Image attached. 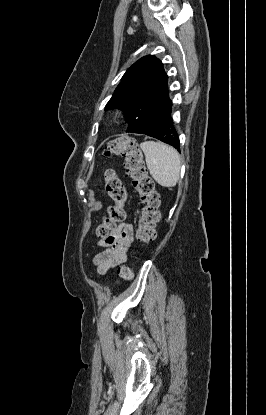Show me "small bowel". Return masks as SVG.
Listing matches in <instances>:
<instances>
[{
    "label": "small bowel",
    "instance_id": "c3829d8e",
    "mask_svg": "<svg viewBox=\"0 0 266 415\" xmlns=\"http://www.w3.org/2000/svg\"><path fill=\"white\" fill-rule=\"evenodd\" d=\"M134 241V229L130 223H122L116 226L110 234L101 239L98 245L103 251L94 258L96 271L100 275L119 266L127 260L128 253Z\"/></svg>",
    "mask_w": 266,
    "mask_h": 415
}]
</instances>
